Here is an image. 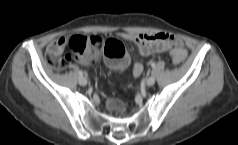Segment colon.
I'll return each mask as SVG.
<instances>
[{"mask_svg":"<svg viewBox=\"0 0 238 145\" xmlns=\"http://www.w3.org/2000/svg\"><path fill=\"white\" fill-rule=\"evenodd\" d=\"M71 54L64 58L49 55L48 61L57 70H63L71 57L86 62L94 63L100 55H104L109 65L115 69H124L129 61L125 46L116 39L104 40L98 36H74L70 39ZM172 61L181 64L186 58V52L180 48H173L170 51ZM108 108L115 114L123 113L124 104L117 99H109Z\"/></svg>","mask_w":238,"mask_h":145,"instance_id":"colon-1","label":"colon"}]
</instances>
